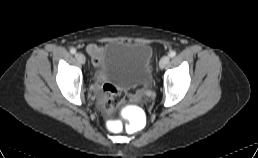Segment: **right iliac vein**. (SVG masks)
<instances>
[{"label":"right iliac vein","mask_w":258,"mask_h":158,"mask_svg":"<svg viewBox=\"0 0 258 158\" xmlns=\"http://www.w3.org/2000/svg\"><path fill=\"white\" fill-rule=\"evenodd\" d=\"M75 58L76 60L81 63L84 64L85 63V56L82 53H76L75 54Z\"/></svg>","instance_id":"1"}]
</instances>
